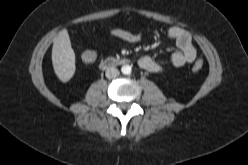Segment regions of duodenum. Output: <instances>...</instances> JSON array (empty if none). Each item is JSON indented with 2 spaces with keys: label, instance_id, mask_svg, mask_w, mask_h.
Instances as JSON below:
<instances>
[{
  "label": "duodenum",
  "instance_id": "duodenum-1",
  "mask_svg": "<svg viewBox=\"0 0 248 165\" xmlns=\"http://www.w3.org/2000/svg\"><path fill=\"white\" fill-rule=\"evenodd\" d=\"M129 63L128 58H106L100 63L101 69H108L114 66L125 65Z\"/></svg>",
  "mask_w": 248,
  "mask_h": 165
}]
</instances>
